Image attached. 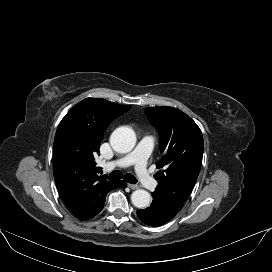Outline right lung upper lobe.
<instances>
[{
	"instance_id": "obj_1",
	"label": "right lung upper lobe",
	"mask_w": 272,
	"mask_h": 272,
	"mask_svg": "<svg viewBox=\"0 0 272 272\" xmlns=\"http://www.w3.org/2000/svg\"><path fill=\"white\" fill-rule=\"evenodd\" d=\"M130 108L87 98L72 107L58 125L53 145L54 179L61 198L79 220L99 213L107 193L115 187V179L98 175L94 157L111 121Z\"/></svg>"
}]
</instances>
